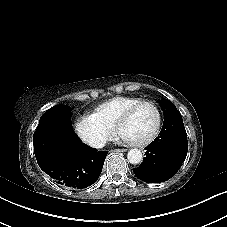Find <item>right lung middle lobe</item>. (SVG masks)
<instances>
[{
  "label": "right lung middle lobe",
  "instance_id": "obj_1",
  "mask_svg": "<svg viewBox=\"0 0 227 227\" xmlns=\"http://www.w3.org/2000/svg\"><path fill=\"white\" fill-rule=\"evenodd\" d=\"M71 112L68 106H54L40 118L35 133L47 129H60L71 141H81L72 129ZM34 133V134H35Z\"/></svg>",
  "mask_w": 227,
  "mask_h": 227
}]
</instances>
